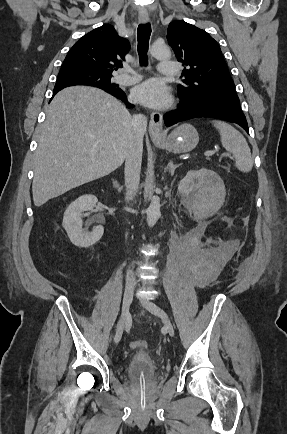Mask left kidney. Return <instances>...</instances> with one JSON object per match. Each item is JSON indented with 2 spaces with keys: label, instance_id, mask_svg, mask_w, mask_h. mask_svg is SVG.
I'll use <instances>...</instances> for the list:
<instances>
[{
  "label": "left kidney",
  "instance_id": "5707ae66",
  "mask_svg": "<svg viewBox=\"0 0 287 434\" xmlns=\"http://www.w3.org/2000/svg\"><path fill=\"white\" fill-rule=\"evenodd\" d=\"M178 190L188 205L211 212L221 207L226 196L223 180L216 172L205 168L188 171Z\"/></svg>",
  "mask_w": 287,
  "mask_h": 434
}]
</instances>
